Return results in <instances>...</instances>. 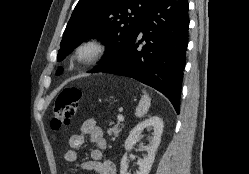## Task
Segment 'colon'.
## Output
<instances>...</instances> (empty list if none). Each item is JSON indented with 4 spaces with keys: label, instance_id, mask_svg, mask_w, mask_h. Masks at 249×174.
Returning a JSON list of instances; mask_svg holds the SVG:
<instances>
[{
    "label": "colon",
    "instance_id": "colon-1",
    "mask_svg": "<svg viewBox=\"0 0 249 174\" xmlns=\"http://www.w3.org/2000/svg\"><path fill=\"white\" fill-rule=\"evenodd\" d=\"M81 96V90L75 87H66L58 94L51 113L53 129H61L70 124Z\"/></svg>",
    "mask_w": 249,
    "mask_h": 174
}]
</instances>
